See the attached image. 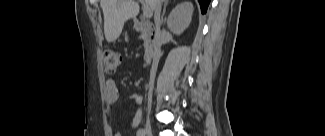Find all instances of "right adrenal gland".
Listing matches in <instances>:
<instances>
[{"label": "right adrenal gland", "instance_id": "right-adrenal-gland-1", "mask_svg": "<svg viewBox=\"0 0 325 136\" xmlns=\"http://www.w3.org/2000/svg\"><path fill=\"white\" fill-rule=\"evenodd\" d=\"M168 2H169V0H166L165 3H164L163 13H162V17H161V22L162 23L165 21L164 15H165V12H166V7H167Z\"/></svg>", "mask_w": 325, "mask_h": 136}]
</instances>
